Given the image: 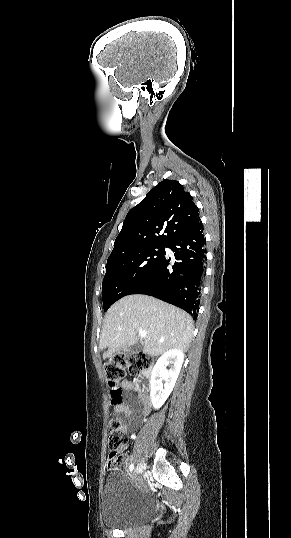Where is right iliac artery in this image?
<instances>
[{
    "instance_id": "obj_1",
    "label": "right iliac artery",
    "mask_w": 291,
    "mask_h": 538,
    "mask_svg": "<svg viewBox=\"0 0 291 538\" xmlns=\"http://www.w3.org/2000/svg\"><path fill=\"white\" fill-rule=\"evenodd\" d=\"M129 469H130V471H133V469H134V464H130Z\"/></svg>"
}]
</instances>
